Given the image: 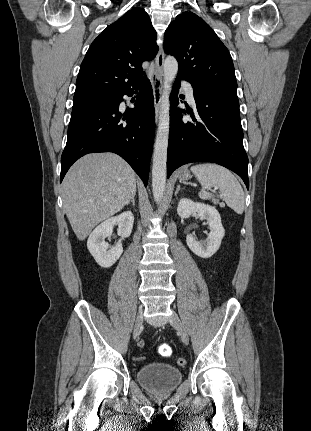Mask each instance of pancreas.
<instances>
[{"mask_svg":"<svg viewBox=\"0 0 311 431\" xmlns=\"http://www.w3.org/2000/svg\"><path fill=\"white\" fill-rule=\"evenodd\" d=\"M212 204H220V200H215V198H213V200H211Z\"/></svg>","mask_w":311,"mask_h":431,"instance_id":"cf45deb5","label":"pancreas"}]
</instances>
